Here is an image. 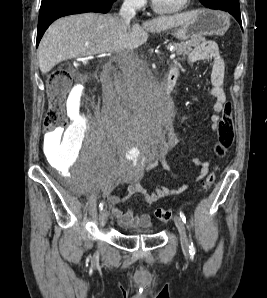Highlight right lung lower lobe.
Wrapping results in <instances>:
<instances>
[{"label": "right lung lower lobe", "instance_id": "1", "mask_svg": "<svg viewBox=\"0 0 267 298\" xmlns=\"http://www.w3.org/2000/svg\"><path fill=\"white\" fill-rule=\"evenodd\" d=\"M116 0H42L38 19L37 46L48 26L56 19L77 13L111 9Z\"/></svg>", "mask_w": 267, "mask_h": 298}]
</instances>
